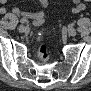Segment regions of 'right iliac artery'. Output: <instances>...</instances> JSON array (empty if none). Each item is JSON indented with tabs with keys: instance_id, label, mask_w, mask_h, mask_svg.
Segmentation results:
<instances>
[{
	"instance_id": "right-iliac-artery-1",
	"label": "right iliac artery",
	"mask_w": 91,
	"mask_h": 91,
	"mask_svg": "<svg viewBox=\"0 0 91 91\" xmlns=\"http://www.w3.org/2000/svg\"><path fill=\"white\" fill-rule=\"evenodd\" d=\"M27 22V19L26 18H22L21 20H20V23H26Z\"/></svg>"
}]
</instances>
